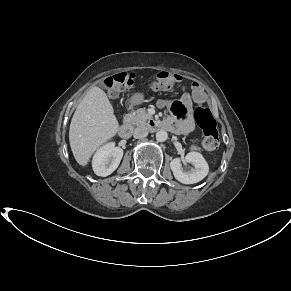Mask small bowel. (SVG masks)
Listing matches in <instances>:
<instances>
[{
    "label": "small bowel",
    "mask_w": 291,
    "mask_h": 291,
    "mask_svg": "<svg viewBox=\"0 0 291 291\" xmlns=\"http://www.w3.org/2000/svg\"><path fill=\"white\" fill-rule=\"evenodd\" d=\"M159 106H170L171 111L174 115L178 117H182L181 119H174L172 117H168L164 121L165 128L179 132V133H190L193 131V122L192 119L188 115V109L190 105V97L187 93H184L178 100H160ZM174 104H179L182 106L184 112L182 115H179L177 111L174 109Z\"/></svg>",
    "instance_id": "1"
}]
</instances>
